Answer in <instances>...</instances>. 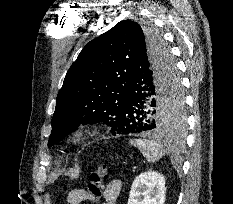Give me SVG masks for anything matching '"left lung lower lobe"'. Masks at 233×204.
Instances as JSON below:
<instances>
[{"mask_svg": "<svg viewBox=\"0 0 233 204\" xmlns=\"http://www.w3.org/2000/svg\"><path fill=\"white\" fill-rule=\"evenodd\" d=\"M163 53L154 56L140 49L133 61L127 91L120 103L118 125L121 134L161 131L158 107L180 81L176 67L170 75L164 69ZM183 126L167 130L180 133Z\"/></svg>", "mask_w": 233, "mask_h": 204, "instance_id": "0a47b994", "label": "left lung lower lobe"}]
</instances>
